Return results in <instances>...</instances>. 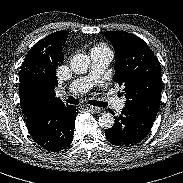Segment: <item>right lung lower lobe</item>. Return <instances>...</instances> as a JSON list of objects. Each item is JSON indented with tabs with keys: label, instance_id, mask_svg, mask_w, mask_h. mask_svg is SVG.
<instances>
[{
	"label": "right lung lower lobe",
	"instance_id": "98d812e1",
	"mask_svg": "<svg viewBox=\"0 0 183 183\" xmlns=\"http://www.w3.org/2000/svg\"><path fill=\"white\" fill-rule=\"evenodd\" d=\"M73 106H46L32 109L26 126L33 140L48 151L58 152L68 147L73 138L76 114Z\"/></svg>",
	"mask_w": 183,
	"mask_h": 183
}]
</instances>
